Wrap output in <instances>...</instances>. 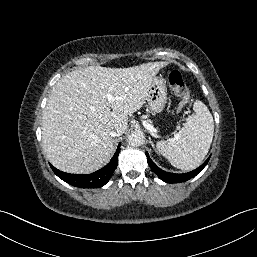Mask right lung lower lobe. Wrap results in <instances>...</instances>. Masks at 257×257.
I'll use <instances>...</instances> for the list:
<instances>
[{
    "mask_svg": "<svg viewBox=\"0 0 257 257\" xmlns=\"http://www.w3.org/2000/svg\"><path fill=\"white\" fill-rule=\"evenodd\" d=\"M120 152V144L118 145L117 151L115 152L114 156L110 160V162L103 167L102 169L87 175H79V174H69L62 172L52 165L51 168L53 172L63 181L67 182L68 184L80 187V188H100L105 185L109 179L111 178L114 170L118 164V155Z\"/></svg>",
    "mask_w": 257,
    "mask_h": 257,
    "instance_id": "obj_1",
    "label": "right lung lower lobe"
}]
</instances>
